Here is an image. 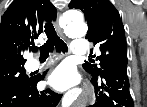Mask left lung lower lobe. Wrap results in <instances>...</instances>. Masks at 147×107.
<instances>
[{
  "mask_svg": "<svg viewBox=\"0 0 147 107\" xmlns=\"http://www.w3.org/2000/svg\"><path fill=\"white\" fill-rule=\"evenodd\" d=\"M98 79H101L100 82ZM92 82L95 86L96 102L90 107H134L126 65L111 66L99 76H93Z\"/></svg>",
  "mask_w": 147,
  "mask_h": 107,
  "instance_id": "0a47b994",
  "label": "left lung lower lobe"
}]
</instances>
